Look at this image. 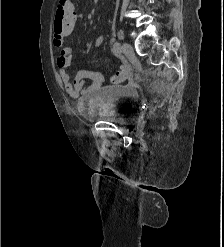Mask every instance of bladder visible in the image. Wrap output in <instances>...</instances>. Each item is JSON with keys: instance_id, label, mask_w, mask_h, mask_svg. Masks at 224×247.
<instances>
[{"instance_id": "bladder-1", "label": "bladder", "mask_w": 224, "mask_h": 247, "mask_svg": "<svg viewBox=\"0 0 224 247\" xmlns=\"http://www.w3.org/2000/svg\"><path fill=\"white\" fill-rule=\"evenodd\" d=\"M139 93L130 86L100 87L89 101V118L128 125L136 117Z\"/></svg>"}]
</instances>
